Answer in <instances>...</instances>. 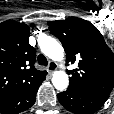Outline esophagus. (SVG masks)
<instances>
[{
    "mask_svg": "<svg viewBox=\"0 0 114 114\" xmlns=\"http://www.w3.org/2000/svg\"><path fill=\"white\" fill-rule=\"evenodd\" d=\"M56 69H57V64L53 61H50L48 64V68H47L49 74L54 73L56 71Z\"/></svg>",
    "mask_w": 114,
    "mask_h": 114,
    "instance_id": "34e87169",
    "label": "esophagus"
}]
</instances>
